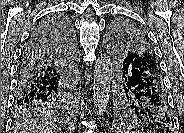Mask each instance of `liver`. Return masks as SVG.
Returning <instances> with one entry per match:
<instances>
[{
    "label": "liver",
    "mask_w": 184,
    "mask_h": 133,
    "mask_svg": "<svg viewBox=\"0 0 184 133\" xmlns=\"http://www.w3.org/2000/svg\"><path fill=\"white\" fill-rule=\"evenodd\" d=\"M23 133H60V128L47 119H36L22 125Z\"/></svg>",
    "instance_id": "liver-1"
}]
</instances>
